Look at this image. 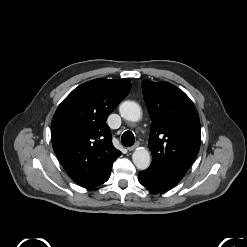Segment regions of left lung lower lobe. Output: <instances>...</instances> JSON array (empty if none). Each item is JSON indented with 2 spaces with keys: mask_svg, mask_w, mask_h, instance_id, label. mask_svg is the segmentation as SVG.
<instances>
[{
  "mask_svg": "<svg viewBox=\"0 0 247 247\" xmlns=\"http://www.w3.org/2000/svg\"><path fill=\"white\" fill-rule=\"evenodd\" d=\"M138 180L144 187L153 192H166L176 185L165 177L148 169L139 172Z\"/></svg>",
  "mask_w": 247,
  "mask_h": 247,
  "instance_id": "left-lung-lower-lobe-1",
  "label": "left lung lower lobe"
}]
</instances>
